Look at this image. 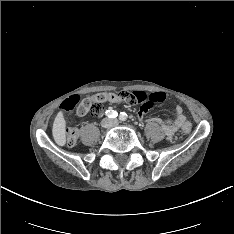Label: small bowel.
Returning <instances> with one entry per match:
<instances>
[{
	"label": "small bowel",
	"mask_w": 234,
	"mask_h": 234,
	"mask_svg": "<svg viewBox=\"0 0 234 234\" xmlns=\"http://www.w3.org/2000/svg\"><path fill=\"white\" fill-rule=\"evenodd\" d=\"M148 110H149L148 108L141 107V109L138 112V118L140 120H143ZM172 112H173V119L170 120L162 121L159 118L155 117L149 118L147 120L148 122L160 123L168 139H171L174 133L179 128L183 127V125L186 123L185 115L180 106L173 107Z\"/></svg>",
	"instance_id": "c3829d8e"
}]
</instances>
